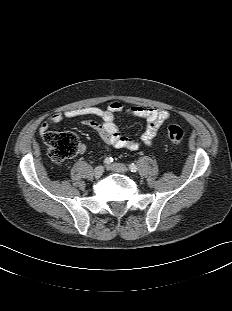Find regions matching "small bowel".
<instances>
[{
  "instance_id": "obj_1",
  "label": "small bowel",
  "mask_w": 232,
  "mask_h": 311,
  "mask_svg": "<svg viewBox=\"0 0 232 311\" xmlns=\"http://www.w3.org/2000/svg\"><path fill=\"white\" fill-rule=\"evenodd\" d=\"M118 114L131 115L145 120V127L140 135V141L145 145H151L157 135L160 126L169 118L168 111L157 108H149L142 106L125 107L118 101H112L106 109L99 107H83L70 109L51 115L39 128V133L44 136L49 132L50 128L65 119L93 117L100 119L85 120V124L95 130L102 141L114 148L127 149L135 151L139 148V142L131 137L124 136L119 132V127L115 123V116ZM86 151V146L81 144L79 152L82 154Z\"/></svg>"
}]
</instances>
